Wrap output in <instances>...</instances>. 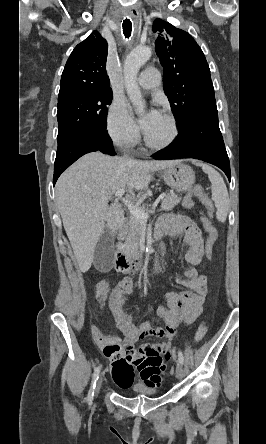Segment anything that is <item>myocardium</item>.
I'll use <instances>...</instances> for the list:
<instances>
[{
	"label": "myocardium",
	"mask_w": 266,
	"mask_h": 444,
	"mask_svg": "<svg viewBox=\"0 0 266 444\" xmlns=\"http://www.w3.org/2000/svg\"><path fill=\"white\" fill-rule=\"evenodd\" d=\"M162 115L164 117H166L168 119V121L170 122L172 132H171V135L169 136V138L162 144H156V143L152 142L150 140V138L147 136L146 132H144L143 133L144 142L147 145V147H149L152 150H163V149L170 147L175 142V140L177 139L178 134H179V128H178V123H177L176 118L171 113H168V112H164Z\"/></svg>",
	"instance_id": "obj_1"
}]
</instances>
